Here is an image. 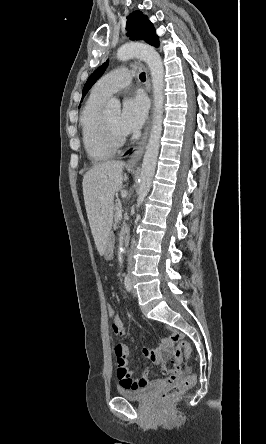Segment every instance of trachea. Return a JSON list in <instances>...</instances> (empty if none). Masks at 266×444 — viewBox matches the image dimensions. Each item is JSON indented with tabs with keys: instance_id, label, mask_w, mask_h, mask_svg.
<instances>
[{
	"instance_id": "trachea-1",
	"label": "trachea",
	"mask_w": 266,
	"mask_h": 444,
	"mask_svg": "<svg viewBox=\"0 0 266 444\" xmlns=\"http://www.w3.org/2000/svg\"><path fill=\"white\" fill-rule=\"evenodd\" d=\"M139 78H140L141 81H145V80H146L145 73L142 72V73L139 75Z\"/></svg>"
}]
</instances>
